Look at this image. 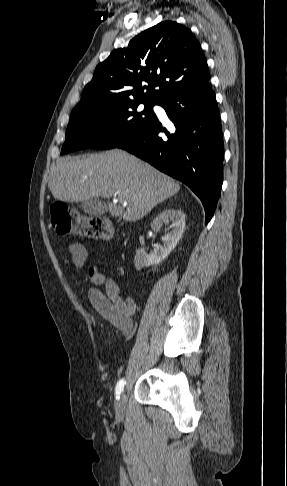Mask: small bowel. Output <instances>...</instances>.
<instances>
[{
    "instance_id": "c3829d8e",
    "label": "small bowel",
    "mask_w": 287,
    "mask_h": 486,
    "mask_svg": "<svg viewBox=\"0 0 287 486\" xmlns=\"http://www.w3.org/2000/svg\"><path fill=\"white\" fill-rule=\"evenodd\" d=\"M68 252L73 265L81 269L85 266L88 257V247L79 242L71 243ZM94 284H102L104 291L96 286L87 290L88 298L97 312L124 335L129 336L133 331L132 316L136 312V302L124 295L116 280L104 274H98L92 280Z\"/></svg>"
}]
</instances>
